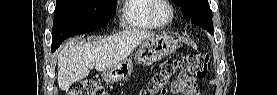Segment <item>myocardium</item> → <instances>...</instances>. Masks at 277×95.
Instances as JSON below:
<instances>
[{"instance_id": "1", "label": "myocardium", "mask_w": 277, "mask_h": 95, "mask_svg": "<svg viewBox=\"0 0 277 95\" xmlns=\"http://www.w3.org/2000/svg\"><path fill=\"white\" fill-rule=\"evenodd\" d=\"M158 6H163L168 11L166 17L163 20L158 19L155 15L154 11ZM148 15L156 25L165 26L172 20L174 16V9L168 0H155L154 4L149 9Z\"/></svg>"}]
</instances>
